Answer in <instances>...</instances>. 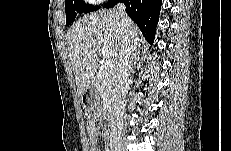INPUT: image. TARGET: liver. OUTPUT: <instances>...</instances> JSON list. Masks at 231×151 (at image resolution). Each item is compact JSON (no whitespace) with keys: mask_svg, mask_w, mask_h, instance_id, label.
I'll use <instances>...</instances> for the list:
<instances>
[{"mask_svg":"<svg viewBox=\"0 0 231 151\" xmlns=\"http://www.w3.org/2000/svg\"><path fill=\"white\" fill-rule=\"evenodd\" d=\"M133 42V53L138 52L143 37L136 24L130 20L128 27ZM68 56L75 75L77 96H83L94 80L101 50L106 59L113 61L114 72L124 53L127 35L115 9L98 10L85 15L69 29ZM135 56V54H134ZM133 59V58H132Z\"/></svg>","mask_w":231,"mask_h":151,"instance_id":"liver-1","label":"liver"}]
</instances>
